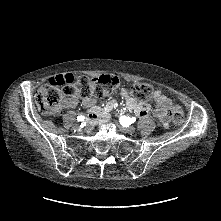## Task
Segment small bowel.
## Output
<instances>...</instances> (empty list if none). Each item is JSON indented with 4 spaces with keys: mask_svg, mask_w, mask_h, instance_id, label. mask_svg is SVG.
Here are the masks:
<instances>
[{
    "mask_svg": "<svg viewBox=\"0 0 221 221\" xmlns=\"http://www.w3.org/2000/svg\"><path fill=\"white\" fill-rule=\"evenodd\" d=\"M77 76L74 72H63L61 74L54 73L50 76L49 81L52 85L58 86L60 84L69 85L76 81ZM121 95L125 99V107L127 110L134 112L140 118H146L149 114L150 107L145 103H138L132 98L126 89H121ZM154 100L156 106L152 110L153 116L159 122V124L166 128L169 124V103L173 100L167 98L160 90L154 91ZM96 97H87L82 100V104L89 108L88 118L91 122H102L108 121L110 112L116 108V101L109 100L104 108L96 105ZM78 104V100H70L65 105L66 107L72 108Z\"/></svg>",
    "mask_w": 221,
    "mask_h": 221,
    "instance_id": "obj_1",
    "label": "small bowel"
}]
</instances>
